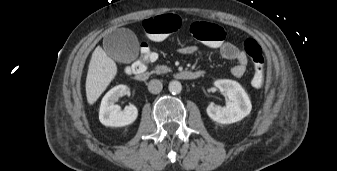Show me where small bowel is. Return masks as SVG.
Wrapping results in <instances>:
<instances>
[{
    "label": "small bowel",
    "instance_id": "c3829d8e",
    "mask_svg": "<svg viewBox=\"0 0 337 171\" xmlns=\"http://www.w3.org/2000/svg\"><path fill=\"white\" fill-rule=\"evenodd\" d=\"M180 53L184 55H191L197 51L193 45H186L180 48ZM221 56L229 61H235L236 65L231 69V73L235 77H241L246 71L248 58L245 52L241 51L235 44L226 41L219 48Z\"/></svg>",
    "mask_w": 337,
    "mask_h": 171
}]
</instances>
